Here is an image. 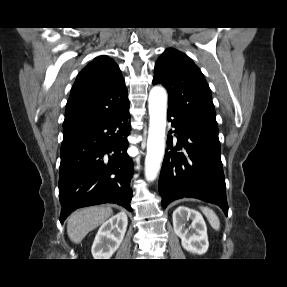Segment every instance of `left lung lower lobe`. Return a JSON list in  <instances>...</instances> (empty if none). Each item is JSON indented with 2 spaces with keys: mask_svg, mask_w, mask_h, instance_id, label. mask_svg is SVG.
Wrapping results in <instances>:
<instances>
[{
  "mask_svg": "<svg viewBox=\"0 0 287 287\" xmlns=\"http://www.w3.org/2000/svg\"><path fill=\"white\" fill-rule=\"evenodd\" d=\"M174 127L159 178L162 206L180 198H197L218 205L228 215L226 185L219 139L198 129L188 119L168 109ZM171 133L176 134L173 140Z\"/></svg>",
  "mask_w": 287,
  "mask_h": 287,
  "instance_id": "left-lung-lower-lobe-1",
  "label": "left lung lower lobe"
}]
</instances>
